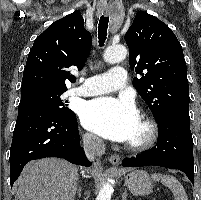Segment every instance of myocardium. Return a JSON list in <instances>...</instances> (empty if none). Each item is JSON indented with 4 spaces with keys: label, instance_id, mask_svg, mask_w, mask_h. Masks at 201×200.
<instances>
[{
    "label": "myocardium",
    "instance_id": "myocardium-1",
    "mask_svg": "<svg viewBox=\"0 0 201 200\" xmlns=\"http://www.w3.org/2000/svg\"><path fill=\"white\" fill-rule=\"evenodd\" d=\"M139 118L146 128V134L142 140L127 144V148L131 151H143L149 149L155 144L159 135L158 125L150 115L142 112L139 114Z\"/></svg>",
    "mask_w": 201,
    "mask_h": 200
}]
</instances>
